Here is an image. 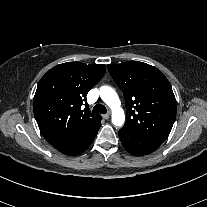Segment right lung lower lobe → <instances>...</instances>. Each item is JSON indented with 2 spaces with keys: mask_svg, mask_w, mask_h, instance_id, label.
Segmentation results:
<instances>
[{
  "mask_svg": "<svg viewBox=\"0 0 207 207\" xmlns=\"http://www.w3.org/2000/svg\"><path fill=\"white\" fill-rule=\"evenodd\" d=\"M101 120L94 126L77 133L68 143L58 147L57 149L65 155H78L84 152L93 142L100 128Z\"/></svg>",
  "mask_w": 207,
  "mask_h": 207,
  "instance_id": "obj_1",
  "label": "right lung lower lobe"
}]
</instances>
